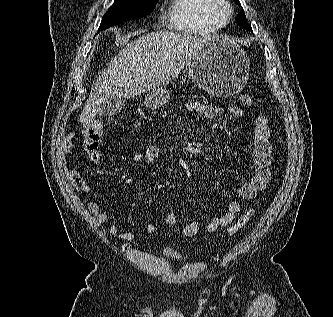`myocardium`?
Wrapping results in <instances>:
<instances>
[{
	"label": "myocardium",
	"mask_w": 333,
	"mask_h": 317,
	"mask_svg": "<svg viewBox=\"0 0 333 317\" xmlns=\"http://www.w3.org/2000/svg\"><path fill=\"white\" fill-rule=\"evenodd\" d=\"M212 10L214 15L222 21H229L233 15V6L228 0H213Z\"/></svg>",
	"instance_id": "obj_1"
}]
</instances>
